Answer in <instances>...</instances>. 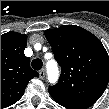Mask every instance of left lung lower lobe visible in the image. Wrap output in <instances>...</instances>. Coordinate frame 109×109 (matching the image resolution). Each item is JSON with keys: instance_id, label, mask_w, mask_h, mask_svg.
Wrapping results in <instances>:
<instances>
[{"instance_id": "0a47b994", "label": "left lung lower lobe", "mask_w": 109, "mask_h": 109, "mask_svg": "<svg viewBox=\"0 0 109 109\" xmlns=\"http://www.w3.org/2000/svg\"><path fill=\"white\" fill-rule=\"evenodd\" d=\"M50 95L52 96V98L60 105H62L65 108L68 109H85L88 106H86L83 103L77 102L75 100H72L70 98L61 96L57 93L51 92L49 91Z\"/></svg>"}]
</instances>
